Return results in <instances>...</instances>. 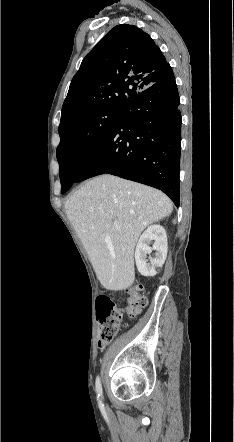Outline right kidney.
<instances>
[{"label":"right kidney","instance_id":"right-kidney-1","mask_svg":"<svg viewBox=\"0 0 234 442\" xmlns=\"http://www.w3.org/2000/svg\"><path fill=\"white\" fill-rule=\"evenodd\" d=\"M153 242L152 247L150 244ZM155 252V256H149V262L147 255H150L152 251ZM167 234L165 229L160 225L149 226L143 234L140 236L136 249H135V261L138 271L143 276H155L157 270L162 267L167 257Z\"/></svg>","mask_w":234,"mask_h":442}]
</instances>
